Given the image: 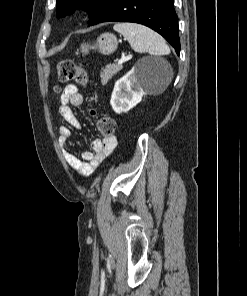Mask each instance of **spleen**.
Returning <instances> with one entry per match:
<instances>
[{
    "label": "spleen",
    "mask_w": 247,
    "mask_h": 296,
    "mask_svg": "<svg viewBox=\"0 0 247 296\" xmlns=\"http://www.w3.org/2000/svg\"><path fill=\"white\" fill-rule=\"evenodd\" d=\"M113 28L122 34L131 48L138 53H149L155 56L170 53L164 38L148 27L136 23H116ZM171 79L172 71L168 81L170 82Z\"/></svg>",
    "instance_id": "obj_1"
}]
</instances>
